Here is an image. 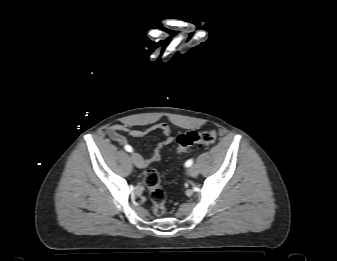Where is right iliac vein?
Segmentation results:
<instances>
[{
	"instance_id": "obj_1",
	"label": "right iliac vein",
	"mask_w": 337,
	"mask_h": 261,
	"mask_svg": "<svg viewBox=\"0 0 337 261\" xmlns=\"http://www.w3.org/2000/svg\"><path fill=\"white\" fill-rule=\"evenodd\" d=\"M131 159H132L134 165H135L137 168H140V169H141V168L144 167L142 157H141L139 154L133 153V154L131 155Z\"/></svg>"
}]
</instances>
